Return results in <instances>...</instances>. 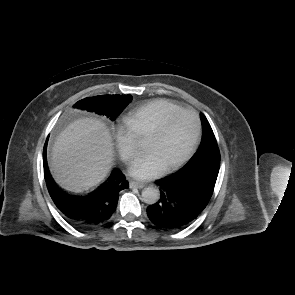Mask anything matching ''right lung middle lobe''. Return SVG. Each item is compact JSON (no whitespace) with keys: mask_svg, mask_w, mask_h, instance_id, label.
<instances>
[{"mask_svg":"<svg viewBox=\"0 0 295 295\" xmlns=\"http://www.w3.org/2000/svg\"><path fill=\"white\" fill-rule=\"evenodd\" d=\"M131 101V95H101L80 100L74 107L104 115L113 121Z\"/></svg>","mask_w":295,"mask_h":295,"instance_id":"obj_1","label":"right lung middle lobe"}]
</instances>
